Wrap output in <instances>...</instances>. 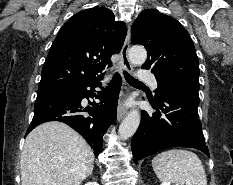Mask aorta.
<instances>
[{
  "label": "aorta",
  "instance_id": "aorta-1",
  "mask_svg": "<svg viewBox=\"0 0 233 185\" xmlns=\"http://www.w3.org/2000/svg\"><path fill=\"white\" fill-rule=\"evenodd\" d=\"M129 59L134 65H142L147 59L146 49L142 46H133L129 50ZM140 112L131 110L121 122L118 134L121 139H127L134 135L140 124Z\"/></svg>",
  "mask_w": 233,
  "mask_h": 185
}]
</instances>
